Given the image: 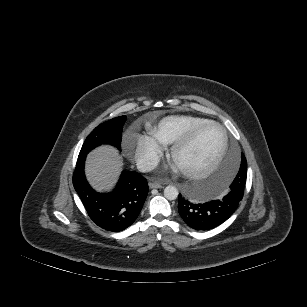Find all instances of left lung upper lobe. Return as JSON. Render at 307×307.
Masks as SVG:
<instances>
[{
    "label": "left lung upper lobe",
    "mask_w": 307,
    "mask_h": 307,
    "mask_svg": "<svg viewBox=\"0 0 307 307\" xmlns=\"http://www.w3.org/2000/svg\"><path fill=\"white\" fill-rule=\"evenodd\" d=\"M246 178H247V161H246L245 157H244V160H243V157H242L239 172H238L237 176L235 177L234 181L232 182V184L233 185L238 184V188L241 191H244ZM231 185H230V189L234 187V186H231Z\"/></svg>",
    "instance_id": "1"
}]
</instances>
